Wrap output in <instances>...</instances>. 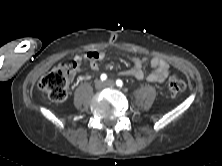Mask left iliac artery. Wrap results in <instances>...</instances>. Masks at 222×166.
I'll list each match as a JSON object with an SVG mask.
<instances>
[{"instance_id": "44dca946", "label": "left iliac artery", "mask_w": 222, "mask_h": 166, "mask_svg": "<svg viewBox=\"0 0 222 166\" xmlns=\"http://www.w3.org/2000/svg\"><path fill=\"white\" fill-rule=\"evenodd\" d=\"M116 85H117L118 87H122V86H123L122 80L117 79V80H116Z\"/></svg>"}]
</instances>
